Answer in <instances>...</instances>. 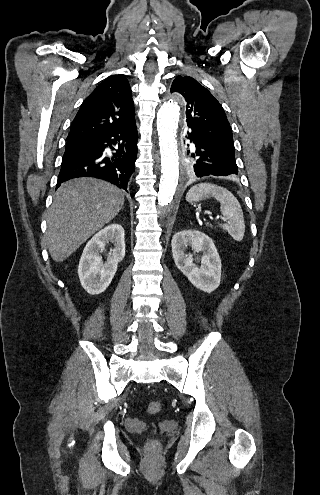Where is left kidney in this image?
Here are the masks:
<instances>
[{
    "label": "left kidney",
    "mask_w": 320,
    "mask_h": 495,
    "mask_svg": "<svg viewBox=\"0 0 320 495\" xmlns=\"http://www.w3.org/2000/svg\"><path fill=\"white\" fill-rule=\"evenodd\" d=\"M176 266L196 288L211 293L218 288L221 279V259L213 241L202 232L185 230L176 233L171 241ZM191 247L203 252L201 267L193 263L192 254H186Z\"/></svg>",
    "instance_id": "1"
}]
</instances>
